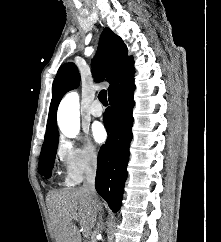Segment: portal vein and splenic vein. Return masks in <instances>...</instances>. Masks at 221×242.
Here are the masks:
<instances>
[{
    "instance_id": "18ae733b",
    "label": "portal vein and splenic vein",
    "mask_w": 221,
    "mask_h": 242,
    "mask_svg": "<svg viewBox=\"0 0 221 242\" xmlns=\"http://www.w3.org/2000/svg\"><path fill=\"white\" fill-rule=\"evenodd\" d=\"M90 234L89 230H84V236L87 237Z\"/></svg>"
}]
</instances>
